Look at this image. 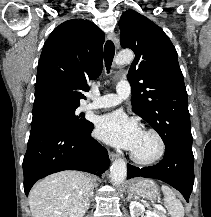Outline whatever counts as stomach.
Listing matches in <instances>:
<instances>
[{"label": "stomach", "instance_id": "0dacf381", "mask_svg": "<svg viewBox=\"0 0 211 217\" xmlns=\"http://www.w3.org/2000/svg\"><path fill=\"white\" fill-rule=\"evenodd\" d=\"M130 190L138 196L146 199H155L159 195V189L155 181L151 179H138L132 182Z\"/></svg>", "mask_w": 211, "mask_h": 217}]
</instances>
